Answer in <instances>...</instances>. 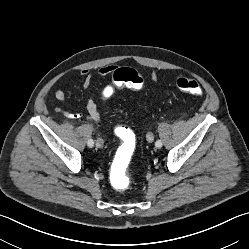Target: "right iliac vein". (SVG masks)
Instances as JSON below:
<instances>
[{
    "instance_id": "right-iliac-vein-1",
    "label": "right iliac vein",
    "mask_w": 249,
    "mask_h": 249,
    "mask_svg": "<svg viewBox=\"0 0 249 249\" xmlns=\"http://www.w3.org/2000/svg\"><path fill=\"white\" fill-rule=\"evenodd\" d=\"M103 145H104V141H103V139L98 138V139L96 140V147H98V148H102V147H103Z\"/></svg>"
}]
</instances>
